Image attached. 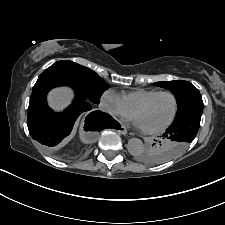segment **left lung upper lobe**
Instances as JSON below:
<instances>
[{
    "label": "left lung upper lobe",
    "instance_id": "5c2ea615",
    "mask_svg": "<svg viewBox=\"0 0 225 225\" xmlns=\"http://www.w3.org/2000/svg\"><path fill=\"white\" fill-rule=\"evenodd\" d=\"M154 85L169 89L174 94L178 104V111L175 119L191 113H202L203 101L201 94L190 82L184 80L162 81L156 82ZM177 144L184 145L182 151L188 146V143L162 136V138L153 143L152 146L139 153L137 157L144 163L160 164L166 162L162 158L170 156V151Z\"/></svg>",
    "mask_w": 225,
    "mask_h": 225
}]
</instances>
